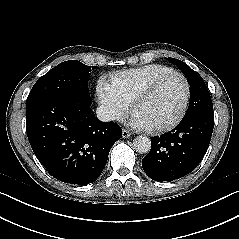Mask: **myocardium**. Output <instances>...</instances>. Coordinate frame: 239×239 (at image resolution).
<instances>
[{"label":"myocardium","mask_w":239,"mask_h":239,"mask_svg":"<svg viewBox=\"0 0 239 239\" xmlns=\"http://www.w3.org/2000/svg\"><path fill=\"white\" fill-rule=\"evenodd\" d=\"M170 76H177L183 80V83L185 86V97H184L183 105L181 107L180 112L173 120H171L170 122H168L166 124L160 125V126L148 127L147 130L149 132L164 133V132L170 131L173 128H175L183 120V118L185 117V115L187 113L189 103H190V98H191V87H190L189 81L186 78V76L184 74H182L181 72H178L175 70H170L168 72H165V73L157 76L152 81H150L146 86H144L132 100L131 112H132V114L135 115V111H136L137 107L153 94V92L156 90L158 85L163 80H165L166 78H168Z\"/></svg>","instance_id":"obj_1"}]
</instances>
